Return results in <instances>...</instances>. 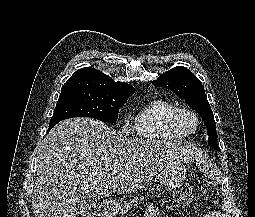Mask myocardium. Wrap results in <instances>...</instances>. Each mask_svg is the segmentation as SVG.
<instances>
[{
    "label": "myocardium",
    "instance_id": "f54148a6",
    "mask_svg": "<svg viewBox=\"0 0 255 217\" xmlns=\"http://www.w3.org/2000/svg\"><path fill=\"white\" fill-rule=\"evenodd\" d=\"M185 116H188L193 119L195 123L194 129L187 130L184 127L183 119ZM171 122L173 127L183 136L194 135L198 131L200 126V120L198 115L193 110L188 108H177L171 115Z\"/></svg>",
    "mask_w": 255,
    "mask_h": 217
}]
</instances>
